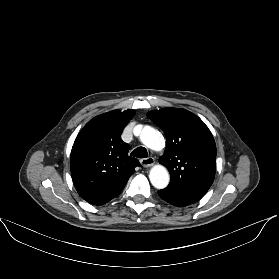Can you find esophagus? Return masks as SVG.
I'll return each mask as SVG.
<instances>
[{"label": "esophagus", "mask_w": 279, "mask_h": 279, "mask_svg": "<svg viewBox=\"0 0 279 279\" xmlns=\"http://www.w3.org/2000/svg\"><path fill=\"white\" fill-rule=\"evenodd\" d=\"M143 167L148 168L154 165L155 161L152 157L144 158L140 160Z\"/></svg>", "instance_id": "obj_1"}]
</instances>
